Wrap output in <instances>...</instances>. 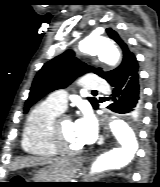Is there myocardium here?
<instances>
[{
    "label": "myocardium",
    "instance_id": "obj_1",
    "mask_svg": "<svg viewBox=\"0 0 160 187\" xmlns=\"http://www.w3.org/2000/svg\"><path fill=\"white\" fill-rule=\"evenodd\" d=\"M63 118H67L65 116H56L55 119L52 122L51 126V139H52V144L57 151L58 154L62 155H79L83 153L84 148L81 147L77 150H71L69 149L65 143H64V137L61 132L60 128V122Z\"/></svg>",
    "mask_w": 160,
    "mask_h": 187
}]
</instances>
